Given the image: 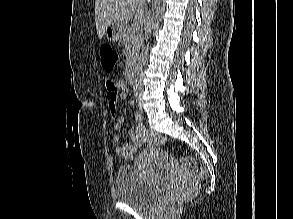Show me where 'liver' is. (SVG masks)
Wrapping results in <instances>:
<instances>
[{
	"mask_svg": "<svg viewBox=\"0 0 293 219\" xmlns=\"http://www.w3.org/2000/svg\"><path fill=\"white\" fill-rule=\"evenodd\" d=\"M134 17L135 25L140 26L145 17L144 0H96L95 22L99 38H102L105 29L112 23L126 26Z\"/></svg>",
	"mask_w": 293,
	"mask_h": 219,
	"instance_id": "1",
	"label": "liver"
}]
</instances>
